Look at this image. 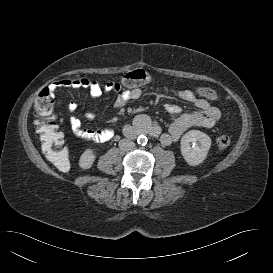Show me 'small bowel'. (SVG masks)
<instances>
[{"label":"small bowel","instance_id":"1","mask_svg":"<svg viewBox=\"0 0 273 273\" xmlns=\"http://www.w3.org/2000/svg\"><path fill=\"white\" fill-rule=\"evenodd\" d=\"M57 84L65 87L87 89L93 99L100 98L104 92H115L117 93V97L114 101L116 107H123L130 101L137 100L142 96V90L140 88H132L122 91V88L118 86L116 82H109L103 87L99 82L86 77L62 80ZM166 91L174 94L183 101L191 103L198 109V111L182 113V109L178 105L172 103L166 104L164 107L165 111L171 115L177 116L166 132H162L160 125L153 122L148 116H137L134 124L140 130L146 131L154 137H159V140L163 145H169L170 143L177 141L188 129L195 127L211 128L220 119V111L216 107L211 106L205 99L197 97L191 90H174L168 88ZM76 109V103L70 102L68 104V110L70 112L73 113ZM85 117L90 121H93L96 118L92 111H87ZM70 125L72 130L79 137L85 140L105 142L111 138V133L108 129H82L81 120L76 116L70 118Z\"/></svg>","mask_w":273,"mask_h":273}]
</instances>
